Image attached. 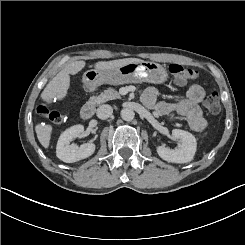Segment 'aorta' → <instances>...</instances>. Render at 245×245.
<instances>
[{"mask_svg": "<svg viewBox=\"0 0 245 245\" xmlns=\"http://www.w3.org/2000/svg\"><path fill=\"white\" fill-rule=\"evenodd\" d=\"M135 113L131 108H124L121 110V117L125 121H131L134 119Z\"/></svg>", "mask_w": 245, "mask_h": 245, "instance_id": "obj_1", "label": "aorta"}]
</instances>
